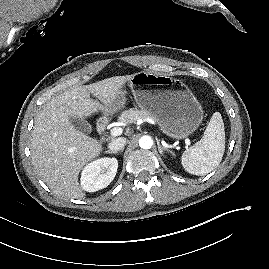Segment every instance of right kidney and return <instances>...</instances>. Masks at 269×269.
Returning a JSON list of instances; mask_svg holds the SVG:
<instances>
[{
    "label": "right kidney",
    "mask_w": 269,
    "mask_h": 269,
    "mask_svg": "<svg viewBox=\"0 0 269 269\" xmlns=\"http://www.w3.org/2000/svg\"><path fill=\"white\" fill-rule=\"evenodd\" d=\"M118 168L116 158H100L86 165L81 173V186L87 192L107 187L114 179Z\"/></svg>",
    "instance_id": "ca27d5eb"
}]
</instances>
